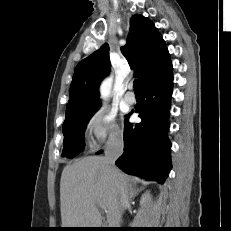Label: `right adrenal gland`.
<instances>
[{"label": "right adrenal gland", "mask_w": 231, "mask_h": 231, "mask_svg": "<svg viewBox=\"0 0 231 231\" xmlns=\"http://www.w3.org/2000/svg\"><path fill=\"white\" fill-rule=\"evenodd\" d=\"M140 191L141 190H138L133 186H129L128 188L129 200H132Z\"/></svg>", "instance_id": "2a0ac1e0"}]
</instances>
